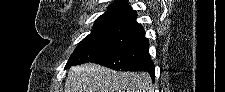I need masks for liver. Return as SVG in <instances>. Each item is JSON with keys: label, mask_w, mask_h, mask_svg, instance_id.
<instances>
[{"label": "liver", "mask_w": 225, "mask_h": 92, "mask_svg": "<svg viewBox=\"0 0 225 92\" xmlns=\"http://www.w3.org/2000/svg\"><path fill=\"white\" fill-rule=\"evenodd\" d=\"M64 92H154L147 72H117L88 63L69 69Z\"/></svg>", "instance_id": "1"}]
</instances>
